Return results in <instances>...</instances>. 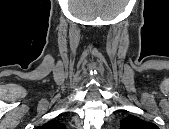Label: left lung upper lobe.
<instances>
[{
  "label": "left lung upper lobe",
  "mask_w": 169,
  "mask_h": 129,
  "mask_svg": "<svg viewBox=\"0 0 169 129\" xmlns=\"http://www.w3.org/2000/svg\"><path fill=\"white\" fill-rule=\"evenodd\" d=\"M120 129H158V127L151 123L141 120L136 116H127L125 119L120 121Z\"/></svg>",
  "instance_id": "5c2ea615"
}]
</instances>
